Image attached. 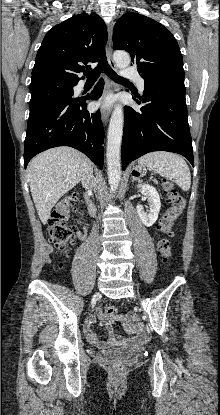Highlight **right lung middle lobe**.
Segmentation results:
<instances>
[{"instance_id": "right-lung-middle-lobe-1", "label": "right lung middle lobe", "mask_w": 220, "mask_h": 415, "mask_svg": "<svg viewBox=\"0 0 220 415\" xmlns=\"http://www.w3.org/2000/svg\"><path fill=\"white\" fill-rule=\"evenodd\" d=\"M76 83L59 79H41L30 84V111L44 105L73 96Z\"/></svg>"}]
</instances>
